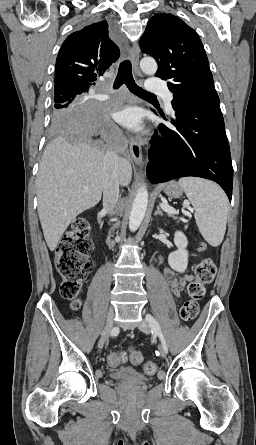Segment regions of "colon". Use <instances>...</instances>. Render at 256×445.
<instances>
[{
  "label": "colon",
  "mask_w": 256,
  "mask_h": 445,
  "mask_svg": "<svg viewBox=\"0 0 256 445\" xmlns=\"http://www.w3.org/2000/svg\"><path fill=\"white\" fill-rule=\"evenodd\" d=\"M92 248L90 225L87 216H79L74 219L70 228L63 234L56 248V269L62 281L60 293L63 298L71 301V307L77 309L80 306L79 294L83 281L92 270L93 264L89 253ZM200 246V251L204 250ZM217 267L212 257L203 258L195 270V279L188 285V299L180 310L181 319L192 322L198 315V303L206 295L207 287L214 281ZM127 360L124 351L111 353L108 361L112 366H119ZM130 360L133 364H140L143 355L138 350L130 351ZM157 370L154 361H146L143 371L147 375H153Z\"/></svg>",
  "instance_id": "colon-1"
}]
</instances>
